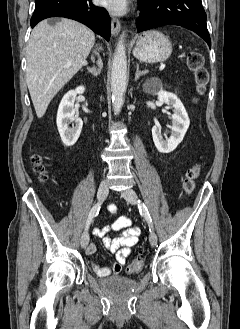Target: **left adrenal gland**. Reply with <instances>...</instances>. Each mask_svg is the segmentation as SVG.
Listing matches in <instances>:
<instances>
[{"label":"left adrenal gland","instance_id":"1","mask_svg":"<svg viewBox=\"0 0 240 329\" xmlns=\"http://www.w3.org/2000/svg\"><path fill=\"white\" fill-rule=\"evenodd\" d=\"M147 72H148V70L140 71L139 70V64H137V66H136V74H135V81H137L141 75H145Z\"/></svg>","mask_w":240,"mask_h":329}]
</instances>
